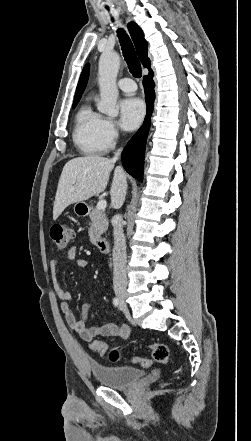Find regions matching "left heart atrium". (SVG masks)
Wrapping results in <instances>:
<instances>
[{"instance_id":"left-heart-atrium-1","label":"left heart atrium","mask_w":251,"mask_h":441,"mask_svg":"<svg viewBox=\"0 0 251 441\" xmlns=\"http://www.w3.org/2000/svg\"><path fill=\"white\" fill-rule=\"evenodd\" d=\"M120 124L126 130L137 128L145 115V105L139 98L129 97L120 102Z\"/></svg>"}]
</instances>
